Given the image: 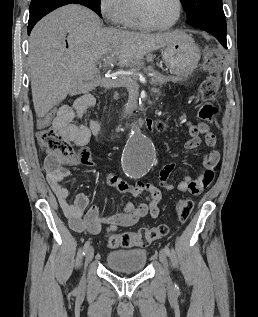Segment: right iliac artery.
<instances>
[{"instance_id": "obj_1", "label": "right iliac artery", "mask_w": 258, "mask_h": 317, "mask_svg": "<svg viewBox=\"0 0 258 317\" xmlns=\"http://www.w3.org/2000/svg\"><path fill=\"white\" fill-rule=\"evenodd\" d=\"M89 245H90V242L87 241L85 244H84V247H83V255L85 254V252L87 251V249L89 248Z\"/></svg>"}]
</instances>
